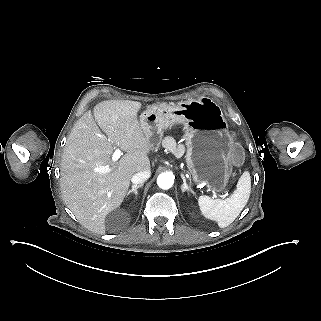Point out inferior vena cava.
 Returning <instances> with one entry per match:
<instances>
[{"label": "inferior vena cava", "mask_w": 321, "mask_h": 321, "mask_svg": "<svg viewBox=\"0 0 321 321\" xmlns=\"http://www.w3.org/2000/svg\"><path fill=\"white\" fill-rule=\"evenodd\" d=\"M150 176H151L150 170L138 172L132 176L131 181L135 185L143 184L147 179L150 178Z\"/></svg>", "instance_id": "602c4592"}]
</instances>
